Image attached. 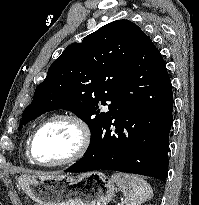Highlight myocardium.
<instances>
[{
  "label": "myocardium",
  "mask_w": 199,
  "mask_h": 205,
  "mask_svg": "<svg viewBox=\"0 0 199 205\" xmlns=\"http://www.w3.org/2000/svg\"><path fill=\"white\" fill-rule=\"evenodd\" d=\"M57 121H67L72 123L79 133L78 144L75 150L67 157L54 162H40L34 156V142L37 135L48 125ZM92 142V130L87 121L74 113L55 114L42 122L30 135L27 143V154L29 159L36 165L43 167H55L73 163L79 160L89 149Z\"/></svg>",
  "instance_id": "f54148a6"
}]
</instances>
